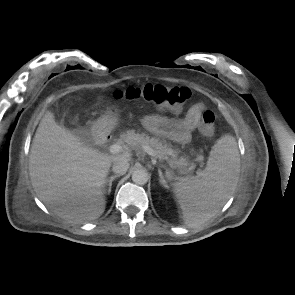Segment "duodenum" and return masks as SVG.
<instances>
[{
    "instance_id": "1",
    "label": "duodenum",
    "mask_w": 295,
    "mask_h": 295,
    "mask_svg": "<svg viewBox=\"0 0 295 295\" xmlns=\"http://www.w3.org/2000/svg\"><path fill=\"white\" fill-rule=\"evenodd\" d=\"M106 138H107L106 135H100V136L98 137V140L102 143V142H104V141L106 140Z\"/></svg>"
}]
</instances>
